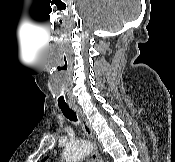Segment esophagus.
Returning a JSON list of instances; mask_svg holds the SVG:
<instances>
[{
    "mask_svg": "<svg viewBox=\"0 0 175 162\" xmlns=\"http://www.w3.org/2000/svg\"><path fill=\"white\" fill-rule=\"evenodd\" d=\"M72 109L79 116L85 135L88 137V139H90L92 141V143L94 145H96L95 134L92 130L90 123L88 122V120L86 119V117L84 116V114L82 113V111L78 107H73ZM91 157H92L93 162H102V159L99 155V152L96 149H94L91 152Z\"/></svg>",
    "mask_w": 175,
    "mask_h": 162,
    "instance_id": "esophagus-1",
    "label": "esophagus"
}]
</instances>
